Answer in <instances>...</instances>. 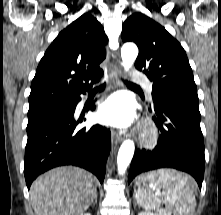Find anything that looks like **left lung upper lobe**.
I'll use <instances>...</instances> for the list:
<instances>
[{"label": "left lung upper lobe", "instance_id": "5c2ea615", "mask_svg": "<svg viewBox=\"0 0 221 215\" xmlns=\"http://www.w3.org/2000/svg\"><path fill=\"white\" fill-rule=\"evenodd\" d=\"M122 40L139 48L135 67L153 82V101L164 94H173L198 103L186 52L166 29L142 13L131 15L123 25Z\"/></svg>", "mask_w": 221, "mask_h": 215}]
</instances>
